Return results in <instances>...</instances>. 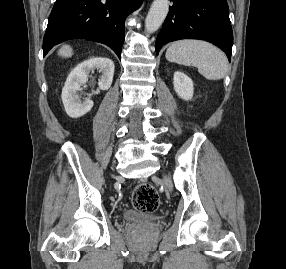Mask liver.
Instances as JSON below:
<instances>
[{
	"instance_id": "liver-1",
	"label": "liver",
	"mask_w": 286,
	"mask_h": 269,
	"mask_svg": "<svg viewBox=\"0 0 286 269\" xmlns=\"http://www.w3.org/2000/svg\"><path fill=\"white\" fill-rule=\"evenodd\" d=\"M58 54L62 57H71L72 56V49L69 45H63L59 50Z\"/></svg>"
}]
</instances>
